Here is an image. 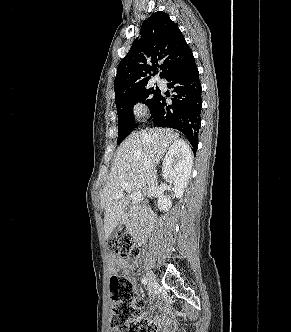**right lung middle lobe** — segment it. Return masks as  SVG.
<instances>
[{
  "label": "right lung middle lobe",
  "mask_w": 291,
  "mask_h": 332,
  "mask_svg": "<svg viewBox=\"0 0 291 332\" xmlns=\"http://www.w3.org/2000/svg\"><path fill=\"white\" fill-rule=\"evenodd\" d=\"M160 92L161 91L158 88L147 89L146 87H142L115 100L118 114L117 144L121 143L125 137H127L133 129L137 127L133 117L134 104L137 102H143L151 109Z\"/></svg>",
  "instance_id": "obj_1"
}]
</instances>
